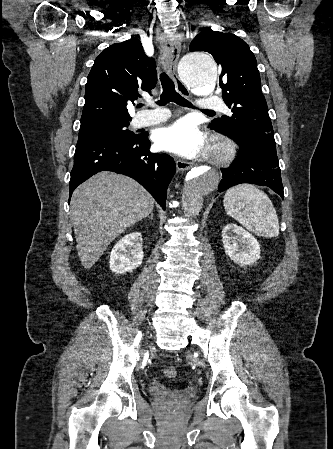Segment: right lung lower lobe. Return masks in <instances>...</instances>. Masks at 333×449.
<instances>
[{"mask_svg": "<svg viewBox=\"0 0 333 449\" xmlns=\"http://www.w3.org/2000/svg\"><path fill=\"white\" fill-rule=\"evenodd\" d=\"M148 134L134 140L94 138L77 142L69 184L74 189L100 171H113L138 181L165 209L167 187L176 165L167 154L150 152ZM70 201V200H69Z\"/></svg>", "mask_w": 333, "mask_h": 449, "instance_id": "1", "label": "right lung lower lobe"}]
</instances>
